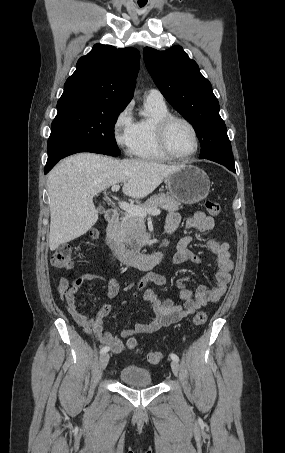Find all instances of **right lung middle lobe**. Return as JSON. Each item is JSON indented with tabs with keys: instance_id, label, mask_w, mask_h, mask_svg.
<instances>
[{
	"instance_id": "right-lung-middle-lobe-1",
	"label": "right lung middle lobe",
	"mask_w": 285,
	"mask_h": 453,
	"mask_svg": "<svg viewBox=\"0 0 285 453\" xmlns=\"http://www.w3.org/2000/svg\"><path fill=\"white\" fill-rule=\"evenodd\" d=\"M125 106L99 101H58L51 129H62L93 146L98 153L118 156L114 125Z\"/></svg>"
}]
</instances>
